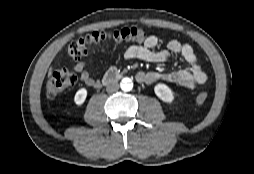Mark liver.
<instances>
[{"label": "liver", "instance_id": "6515ba94", "mask_svg": "<svg viewBox=\"0 0 254 174\" xmlns=\"http://www.w3.org/2000/svg\"><path fill=\"white\" fill-rule=\"evenodd\" d=\"M52 74V70L49 71L48 76L50 77Z\"/></svg>", "mask_w": 254, "mask_h": 174}]
</instances>
